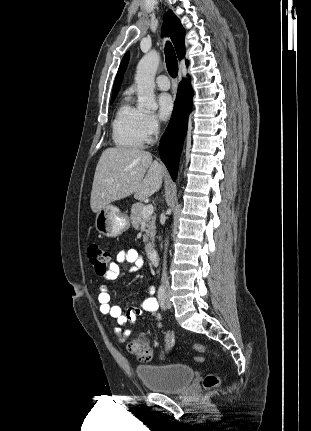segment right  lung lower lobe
I'll use <instances>...</instances> for the list:
<instances>
[{
	"mask_svg": "<svg viewBox=\"0 0 311 431\" xmlns=\"http://www.w3.org/2000/svg\"><path fill=\"white\" fill-rule=\"evenodd\" d=\"M190 80L181 82L169 125L160 140L159 153L173 180L177 176L179 156L187 130L188 114L192 107Z\"/></svg>",
	"mask_w": 311,
	"mask_h": 431,
	"instance_id": "obj_1",
	"label": "right lung lower lobe"
}]
</instances>
